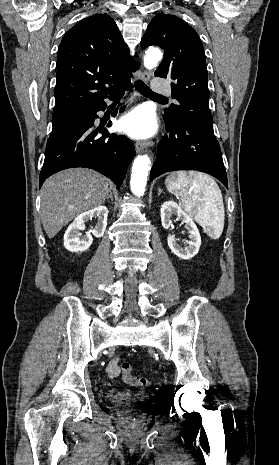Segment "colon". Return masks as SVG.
<instances>
[{
  "instance_id": "colon-1",
  "label": "colon",
  "mask_w": 279,
  "mask_h": 465,
  "mask_svg": "<svg viewBox=\"0 0 279 465\" xmlns=\"http://www.w3.org/2000/svg\"><path fill=\"white\" fill-rule=\"evenodd\" d=\"M121 371L124 382L133 387H146L152 384L150 380L144 377L134 376L132 373V367L128 362L122 363Z\"/></svg>"
}]
</instances>
